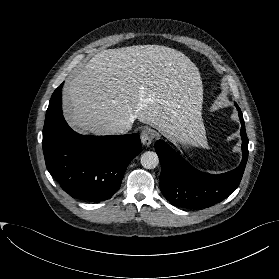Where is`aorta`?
Instances as JSON below:
<instances>
[{"mask_svg":"<svg viewBox=\"0 0 279 279\" xmlns=\"http://www.w3.org/2000/svg\"><path fill=\"white\" fill-rule=\"evenodd\" d=\"M159 164L158 155L153 151H146L141 155V165L146 169H154Z\"/></svg>","mask_w":279,"mask_h":279,"instance_id":"1","label":"aorta"}]
</instances>
